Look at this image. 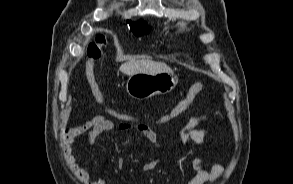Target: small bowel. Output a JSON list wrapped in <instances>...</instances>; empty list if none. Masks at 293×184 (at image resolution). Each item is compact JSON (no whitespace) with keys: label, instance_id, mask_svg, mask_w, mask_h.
<instances>
[{"label":"small bowel","instance_id":"obj_1","mask_svg":"<svg viewBox=\"0 0 293 184\" xmlns=\"http://www.w3.org/2000/svg\"><path fill=\"white\" fill-rule=\"evenodd\" d=\"M201 123H209L206 115L199 113L192 116L180 132V138L183 144L191 145L193 147L200 146L204 141L210 138L208 129L198 128ZM123 132L135 131L143 135L149 142L159 147L157 135L155 131L146 123H120L117 126L108 118L102 115H96L87 121L68 128L65 130L64 139V153L66 162L74 172L75 178L78 182L85 184H107L106 178L92 179L86 164L75 157L76 140L80 137H85L89 143H94L95 140L103 133L110 132L114 129ZM159 163V158H155L143 167L144 171L154 170ZM123 159L118 160V165L121 167ZM193 167L196 174L187 182V184H205L207 182L215 181L223 172V166L215 164L210 168H206L200 158L195 156L193 158Z\"/></svg>","mask_w":293,"mask_h":184}]
</instances>
